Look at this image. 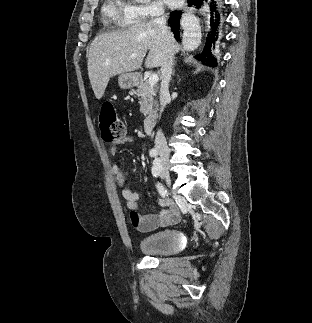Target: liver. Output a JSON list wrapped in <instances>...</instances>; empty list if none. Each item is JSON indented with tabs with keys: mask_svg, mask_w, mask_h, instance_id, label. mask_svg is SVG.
<instances>
[{
	"mask_svg": "<svg viewBox=\"0 0 312 323\" xmlns=\"http://www.w3.org/2000/svg\"><path fill=\"white\" fill-rule=\"evenodd\" d=\"M147 50L146 68L161 66L165 40L154 22H138L124 30L96 36L89 48L88 76L97 100L104 96L112 76L139 70ZM178 52L179 44L174 42L173 54ZM132 54H137L136 58Z\"/></svg>",
	"mask_w": 312,
	"mask_h": 323,
	"instance_id": "1",
	"label": "liver"
}]
</instances>
